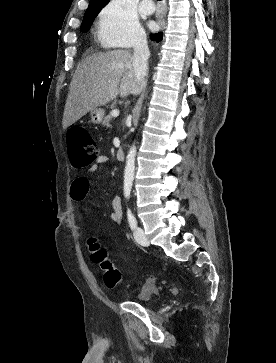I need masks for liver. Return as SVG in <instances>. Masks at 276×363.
Here are the masks:
<instances>
[{"label": "liver", "mask_w": 276, "mask_h": 363, "mask_svg": "<svg viewBox=\"0 0 276 363\" xmlns=\"http://www.w3.org/2000/svg\"><path fill=\"white\" fill-rule=\"evenodd\" d=\"M142 85L143 81L136 78L130 51L119 49L87 56L79 63L70 83L63 128L118 95L137 94Z\"/></svg>", "instance_id": "obj_1"}]
</instances>
